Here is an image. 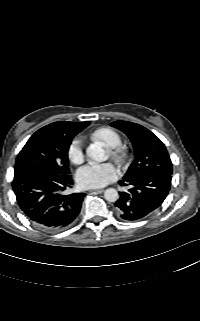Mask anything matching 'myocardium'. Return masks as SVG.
<instances>
[{
	"label": "myocardium",
	"mask_w": 200,
	"mask_h": 321,
	"mask_svg": "<svg viewBox=\"0 0 200 321\" xmlns=\"http://www.w3.org/2000/svg\"><path fill=\"white\" fill-rule=\"evenodd\" d=\"M129 155V148L125 144L120 143L110 148V156L119 164H124L128 160Z\"/></svg>",
	"instance_id": "obj_1"
}]
</instances>
